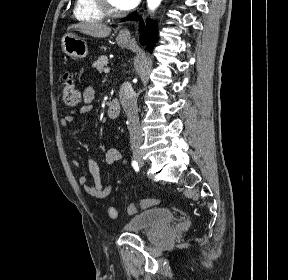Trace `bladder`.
I'll return each instance as SVG.
<instances>
[{
    "mask_svg": "<svg viewBox=\"0 0 288 280\" xmlns=\"http://www.w3.org/2000/svg\"><path fill=\"white\" fill-rule=\"evenodd\" d=\"M174 212L165 207H154L131 217L125 224L127 232L155 231L165 227L174 219Z\"/></svg>",
    "mask_w": 288,
    "mask_h": 280,
    "instance_id": "1",
    "label": "bladder"
}]
</instances>
